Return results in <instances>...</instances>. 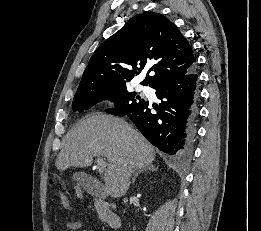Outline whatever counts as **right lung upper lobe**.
Returning a JSON list of instances; mask_svg holds the SVG:
<instances>
[{
	"label": "right lung upper lobe",
	"mask_w": 261,
	"mask_h": 231,
	"mask_svg": "<svg viewBox=\"0 0 261 231\" xmlns=\"http://www.w3.org/2000/svg\"><path fill=\"white\" fill-rule=\"evenodd\" d=\"M195 62L191 46L174 23L159 13L138 14L97 48L75 96L126 86L146 65H151L148 73H156L141 84L153 87L186 74Z\"/></svg>",
	"instance_id": "obj_1"
}]
</instances>
